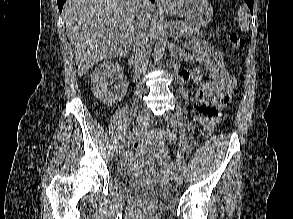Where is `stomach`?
Returning <instances> with one entry per match:
<instances>
[{
  "mask_svg": "<svg viewBox=\"0 0 293 219\" xmlns=\"http://www.w3.org/2000/svg\"><path fill=\"white\" fill-rule=\"evenodd\" d=\"M164 10L197 27L206 26L213 17V8L207 0H176L165 5Z\"/></svg>",
  "mask_w": 293,
  "mask_h": 219,
  "instance_id": "obj_1",
  "label": "stomach"
}]
</instances>
